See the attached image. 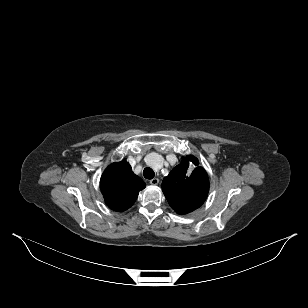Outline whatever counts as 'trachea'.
Returning a JSON list of instances; mask_svg holds the SVG:
<instances>
[{
	"instance_id": "obj_1",
	"label": "trachea",
	"mask_w": 308,
	"mask_h": 308,
	"mask_svg": "<svg viewBox=\"0 0 308 308\" xmlns=\"http://www.w3.org/2000/svg\"><path fill=\"white\" fill-rule=\"evenodd\" d=\"M143 175L146 179H153L155 176V173L151 168L146 167L143 171Z\"/></svg>"
}]
</instances>
